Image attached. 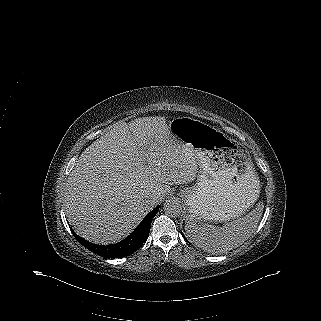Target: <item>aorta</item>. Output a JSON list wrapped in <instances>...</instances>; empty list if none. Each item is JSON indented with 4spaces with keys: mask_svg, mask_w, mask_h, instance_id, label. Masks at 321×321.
<instances>
[{
    "mask_svg": "<svg viewBox=\"0 0 321 321\" xmlns=\"http://www.w3.org/2000/svg\"><path fill=\"white\" fill-rule=\"evenodd\" d=\"M165 214L171 217H177L182 212V206L176 199H168L163 206Z\"/></svg>",
    "mask_w": 321,
    "mask_h": 321,
    "instance_id": "aorta-1",
    "label": "aorta"
}]
</instances>
